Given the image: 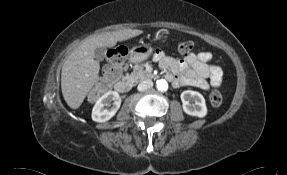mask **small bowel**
I'll return each mask as SVG.
<instances>
[{"label": "small bowel", "mask_w": 287, "mask_h": 175, "mask_svg": "<svg viewBox=\"0 0 287 175\" xmlns=\"http://www.w3.org/2000/svg\"><path fill=\"white\" fill-rule=\"evenodd\" d=\"M154 59L163 70L170 72L169 79L175 87L194 86L207 90L209 88L207 78L211 79V84H217L220 80L219 68L208 63L211 60L209 52L190 54L183 59H176L158 51Z\"/></svg>", "instance_id": "1"}]
</instances>
